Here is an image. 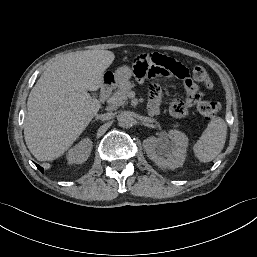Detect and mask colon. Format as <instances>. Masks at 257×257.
<instances>
[{
    "mask_svg": "<svg viewBox=\"0 0 257 257\" xmlns=\"http://www.w3.org/2000/svg\"><path fill=\"white\" fill-rule=\"evenodd\" d=\"M141 55H144V54H141ZM138 56H140V55H138ZM193 69L197 73V79L195 82L201 84L202 86H204L206 88H211L212 81H211V78H210L208 72L206 71V69L203 68L202 66H194ZM197 111L203 118L209 120V119H212L218 113L219 105H218V103H216L214 101L203 100L198 103Z\"/></svg>",
    "mask_w": 257,
    "mask_h": 257,
    "instance_id": "1",
    "label": "colon"
}]
</instances>
